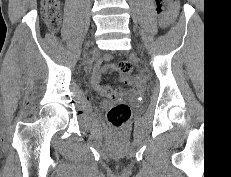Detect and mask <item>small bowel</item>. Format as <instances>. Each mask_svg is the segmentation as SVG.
I'll use <instances>...</instances> for the list:
<instances>
[{"instance_id": "small-bowel-1", "label": "small bowel", "mask_w": 231, "mask_h": 177, "mask_svg": "<svg viewBox=\"0 0 231 177\" xmlns=\"http://www.w3.org/2000/svg\"><path fill=\"white\" fill-rule=\"evenodd\" d=\"M162 18H163L162 24L167 25L166 16L162 17ZM105 60L106 61L112 60V56L106 55ZM116 69L117 68L114 64H106L104 66L97 65L95 67L93 73H92V76H91V84H92L93 88L104 95L115 94L116 92L111 87L101 85L100 81H101V78L103 75L107 74L108 72L114 71ZM120 81H122L128 85H137V83H138V80L136 78H131V77H128L125 75H122L120 77Z\"/></svg>"}]
</instances>
